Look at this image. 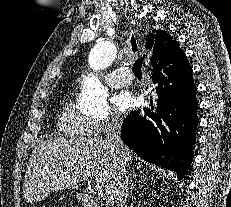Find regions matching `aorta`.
I'll use <instances>...</instances> for the list:
<instances>
[{
	"mask_svg": "<svg viewBox=\"0 0 231 207\" xmlns=\"http://www.w3.org/2000/svg\"><path fill=\"white\" fill-rule=\"evenodd\" d=\"M117 49L110 40L97 42L90 50L88 63L90 69L99 72L109 67L116 58ZM79 104L91 113L108 111V90L93 73L83 82Z\"/></svg>",
	"mask_w": 231,
	"mask_h": 207,
	"instance_id": "1",
	"label": "aorta"
}]
</instances>
